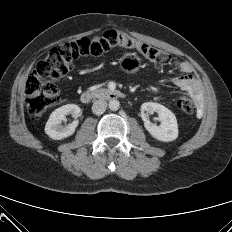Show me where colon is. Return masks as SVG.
Returning a JSON list of instances; mask_svg holds the SVG:
<instances>
[{
  "label": "colon",
  "mask_w": 232,
  "mask_h": 232,
  "mask_svg": "<svg viewBox=\"0 0 232 232\" xmlns=\"http://www.w3.org/2000/svg\"><path fill=\"white\" fill-rule=\"evenodd\" d=\"M115 48L137 50L157 66L168 65L173 58L167 51L116 30L106 31L93 39L82 38L60 44L37 63L26 82L25 103L31 117L39 118L46 109L57 103L58 89L55 82L74 70L81 59L98 57ZM177 105L185 114L194 112V104L188 95L181 96Z\"/></svg>",
  "instance_id": "5ec220e1"
}]
</instances>
